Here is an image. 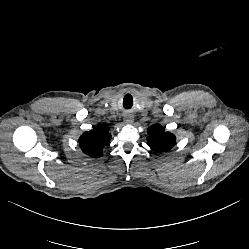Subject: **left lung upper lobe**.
Wrapping results in <instances>:
<instances>
[{"label":"left lung upper lobe","instance_id":"1","mask_svg":"<svg viewBox=\"0 0 249 249\" xmlns=\"http://www.w3.org/2000/svg\"><path fill=\"white\" fill-rule=\"evenodd\" d=\"M147 133V144L157 153L168 151L175 145V136L166 132L164 127L160 124L150 126Z\"/></svg>","mask_w":249,"mask_h":249}]
</instances>
